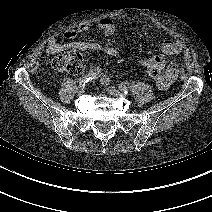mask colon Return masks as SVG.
Instances as JSON below:
<instances>
[{
  "label": "colon",
  "mask_w": 212,
  "mask_h": 212,
  "mask_svg": "<svg viewBox=\"0 0 212 212\" xmlns=\"http://www.w3.org/2000/svg\"><path fill=\"white\" fill-rule=\"evenodd\" d=\"M51 67L59 72H66L71 75L80 74L85 68V59L81 52L72 51L65 54L55 56L50 61ZM162 67L156 64H150L146 67V73L158 81L164 79Z\"/></svg>",
  "instance_id": "obj_1"
}]
</instances>
